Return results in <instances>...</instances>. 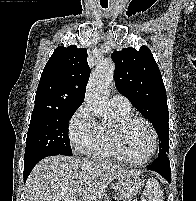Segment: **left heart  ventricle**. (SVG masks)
<instances>
[{"label":"left heart ventricle","instance_id":"obj_1","mask_svg":"<svg viewBox=\"0 0 196 201\" xmlns=\"http://www.w3.org/2000/svg\"><path fill=\"white\" fill-rule=\"evenodd\" d=\"M126 145L130 155L140 160L146 157L152 148V135L142 122L134 123L127 131Z\"/></svg>","mask_w":196,"mask_h":201}]
</instances>
